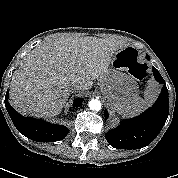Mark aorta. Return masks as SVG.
Wrapping results in <instances>:
<instances>
[{"label": "aorta", "instance_id": "762f6f07", "mask_svg": "<svg viewBox=\"0 0 178 178\" xmlns=\"http://www.w3.org/2000/svg\"><path fill=\"white\" fill-rule=\"evenodd\" d=\"M89 108L93 111H99L101 109V103L97 99L89 101Z\"/></svg>", "mask_w": 178, "mask_h": 178}]
</instances>
